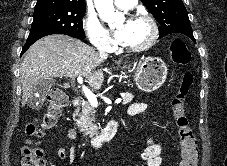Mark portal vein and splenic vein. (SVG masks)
<instances>
[{"mask_svg":"<svg viewBox=\"0 0 227 166\" xmlns=\"http://www.w3.org/2000/svg\"><path fill=\"white\" fill-rule=\"evenodd\" d=\"M77 81L81 85L82 91L85 94V96L87 97L89 103L93 107L97 108L98 107L97 98H96V96L86 86L83 85V78L81 76H78ZM120 102H121V99H118V100H116L115 103L118 104Z\"/></svg>","mask_w":227,"mask_h":166,"instance_id":"18ae733b","label":"portal vein and splenic vein"}]
</instances>
